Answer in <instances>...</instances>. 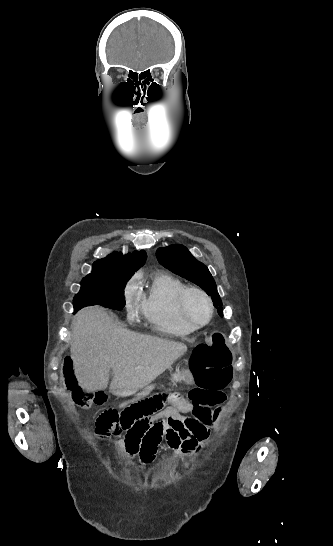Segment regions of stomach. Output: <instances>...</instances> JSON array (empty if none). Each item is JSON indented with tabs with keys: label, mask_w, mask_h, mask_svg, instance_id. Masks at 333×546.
I'll list each match as a JSON object with an SVG mask.
<instances>
[{
	"label": "stomach",
	"mask_w": 333,
	"mask_h": 546,
	"mask_svg": "<svg viewBox=\"0 0 333 546\" xmlns=\"http://www.w3.org/2000/svg\"><path fill=\"white\" fill-rule=\"evenodd\" d=\"M185 370L188 371V373H189V370H188L187 367H186V368H181V369H180V368H177L176 371H175V372L173 373V375H172V376H173L172 380H173V381H180V380H182V379H183V378H182L183 376H182L180 373H181L182 371H185Z\"/></svg>",
	"instance_id": "stomach-1"
}]
</instances>
